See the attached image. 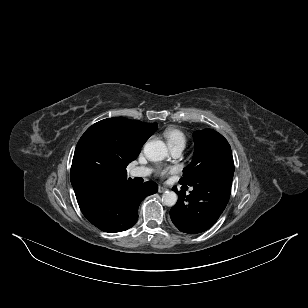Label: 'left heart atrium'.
Masks as SVG:
<instances>
[{
    "instance_id": "39dd6f15",
    "label": "left heart atrium",
    "mask_w": 308,
    "mask_h": 308,
    "mask_svg": "<svg viewBox=\"0 0 308 308\" xmlns=\"http://www.w3.org/2000/svg\"><path fill=\"white\" fill-rule=\"evenodd\" d=\"M173 170H174L173 168H168V169L162 170L160 173L165 174V173H168V172H172Z\"/></svg>"
}]
</instances>
